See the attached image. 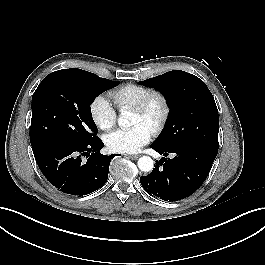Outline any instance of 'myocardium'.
I'll use <instances>...</instances> for the list:
<instances>
[{
    "label": "myocardium",
    "instance_id": "obj_1",
    "mask_svg": "<svg viewBox=\"0 0 265 265\" xmlns=\"http://www.w3.org/2000/svg\"><path fill=\"white\" fill-rule=\"evenodd\" d=\"M155 102H158L160 105V113L152 123L151 132L158 134L163 130L170 115L169 101L163 92L151 90L131 110L139 115L146 116L150 107Z\"/></svg>",
    "mask_w": 265,
    "mask_h": 265
}]
</instances>
